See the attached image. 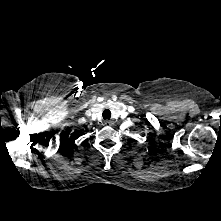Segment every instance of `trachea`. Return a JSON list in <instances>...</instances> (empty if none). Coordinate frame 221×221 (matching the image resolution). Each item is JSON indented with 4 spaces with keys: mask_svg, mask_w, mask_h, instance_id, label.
<instances>
[{
    "mask_svg": "<svg viewBox=\"0 0 221 221\" xmlns=\"http://www.w3.org/2000/svg\"><path fill=\"white\" fill-rule=\"evenodd\" d=\"M103 119L104 120H110L111 117V112L109 109H105L102 113Z\"/></svg>",
    "mask_w": 221,
    "mask_h": 221,
    "instance_id": "3493384b",
    "label": "trachea"
}]
</instances>
